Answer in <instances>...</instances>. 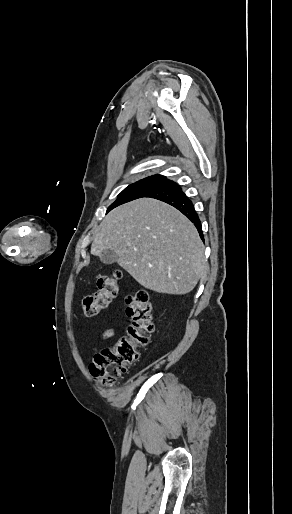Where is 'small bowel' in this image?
I'll return each instance as SVG.
<instances>
[{"label": "small bowel", "mask_w": 292, "mask_h": 514, "mask_svg": "<svg viewBox=\"0 0 292 514\" xmlns=\"http://www.w3.org/2000/svg\"><path fill=\"white\" fill-rule=\"evenodd\" d=\"M120 329L116 327L108 328L106 330H103L99 333H97L96 338L100 340H108L111 338H114L117 334L120 333ZM97 351V347L95 344H92L91 346V352L94 354Z\"/></svg>", "instance_id": "obj_1"}]
</instances>
